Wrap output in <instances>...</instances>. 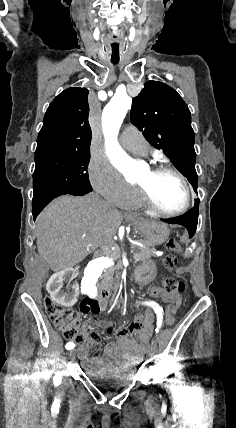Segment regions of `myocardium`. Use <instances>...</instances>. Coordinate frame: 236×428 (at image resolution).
<instances>
[{
    "instance_id": "obj_1",
    "label": "myocardium",
    "mask_w": 236,
    "mask_h": 428,
    "mask_svg": "<svg viewBox=\"0 0 236 428\" xmlns=\"http://www.w3.org/2000/svg\"><path fill=\"white\" fill-rule=\"evenodd\" d=\"M163 173H170L176 176L182 182L186 193V198L183 205L175 210H166L162 208L155 200L147 182L136 184L142 202L151 210L164 216H176L186 212L190 208L192 202V191L188 178L181 171L170 164H157L149 169L150 178H154Z\"/></svg>"
}]
</instances>
